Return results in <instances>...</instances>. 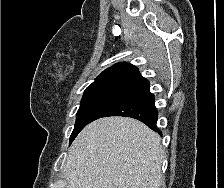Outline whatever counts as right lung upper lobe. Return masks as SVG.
<instances>
[{
    "mask_svg": "<svg viewBox=\"0 0 224 188\" xmlns=\"http://www.w3.org/2000/svg\"><path fill=\"white\" fill-rule=\"evenodd\" d=\"M139 70L132 64L120 62L103 71L95 81L122 79L132 81L139 77Z\"/></svg>",
    "mask_w": 224,
    "mask_h": 188,
    "instance_id": "cb5924a9",
    "label": "right lung upper lobe"
}]
</instances>
